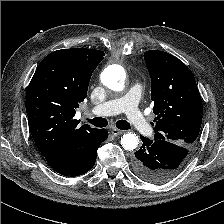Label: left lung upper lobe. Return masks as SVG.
Returning <instances> with one entry per match:
<instances>
[{"instance_id":"left-lung-upper-lobe-1","label":"left lung upper lobe","mask_w":224,"mask_h":224,"mask_svg":"<svg viewBox=\"0 0 224 224\" xmlns=\"http://www.w3.org/2000/svg\"><path fill=\"white\" fill-rule=\"evenodd\" d=\"M154 101V140L191 149L199 134L203 106L191 70L175 56L158 50L145 52ZM181 169L172 174L176 176Z\"/></svg>"}]
</instances>
